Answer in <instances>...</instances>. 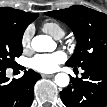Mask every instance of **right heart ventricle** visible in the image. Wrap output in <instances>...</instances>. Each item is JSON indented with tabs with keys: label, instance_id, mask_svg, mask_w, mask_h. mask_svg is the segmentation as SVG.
I'll list each match as a JSON object with an SVG mask.
<instances>
[{
	"label": "right heart ventricle",
	"instance_id": "1",
	"mask_svg": "<svg viewBox=\"0 0 107 107\" xmlns=\"http://www.w3.org/2000/svg\"><path fill=\"white\" fill-rule=\"evenodd\" d=\"M42 29L55 39L62 38L66 33L65 28L60 23L55 21L45 22L42 26Z\"/></svg>",
	"mask_w": 107,
	"mask_h": 107
}]
</instances>
